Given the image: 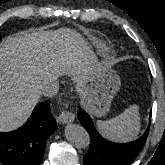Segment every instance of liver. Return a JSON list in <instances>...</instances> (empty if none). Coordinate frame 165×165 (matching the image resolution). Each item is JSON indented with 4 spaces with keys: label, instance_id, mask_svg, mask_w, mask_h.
I'll return each instance as SVG.
<instances>
[{
    "label": "liver",
    "instance_id": "liver-1",
    "mask_svg": "<svg viewBox=\"0 0 165 165\" xmlns=\"http://www.w3.org/2000/svg\"><path fill=\"white\" fill-rule=\"evenodd\" d=\"M72 50H61L67 46ZM72 30L55 33H22L0 46V131L23 125L38 103L41 86L63 73L79 75L84 86L94 58L81 46Z\"/></svg>",
    "mask_w": 165,
    "mask_h": 165
}]
</instances>
